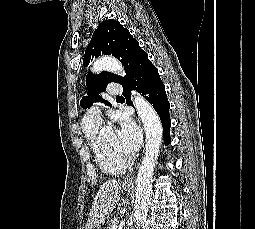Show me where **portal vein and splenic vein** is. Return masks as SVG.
I'll list each match as a JSON object with an SVG mask.
<instances>
[{"label": "portal vein and splenic vein", "instance_id": "1", "mask_svg": "<svg viewBox=\"0 0 255 229\" xmlns=\"http://www.w3.org/2000/svg\"><path fill=\"white\" fill-rule=\"evenodd\" d=\"M113 229H117V225H114V226H113Z\"/></svg>", "mask_w": 255, "mask_h": 229}]
</instances>
